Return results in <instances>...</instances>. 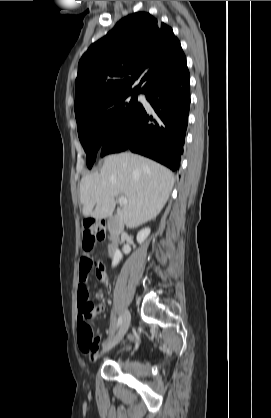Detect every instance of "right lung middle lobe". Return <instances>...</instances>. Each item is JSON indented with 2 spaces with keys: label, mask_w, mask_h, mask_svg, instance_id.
Masks as SVG:
<instances>
[{
  "label": "right lung middle lobe",
  "mask_w": 271,
  "mask_h": 418,
  "mask_svg": "<svg viewBox=\"0 0 271 418\" xmlns=\"http://www.w3.org/2000/svg\"><path fill=\"white\" fill-rule=\"evenodd\" d=\"M130 95L132 98L127 99ZM141 106L137 102V93L127 92L76 116L78 135L87 154L88 168L92 167L97 152L108 135L126 122Z\"/></svg>",
  "instance_id": "1"
}]
</instances>
